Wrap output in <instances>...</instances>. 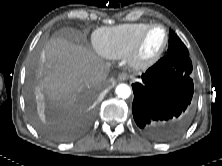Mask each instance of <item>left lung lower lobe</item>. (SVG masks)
Wrapping results in <instances>:
<instances>
[{
    "instance_id": "left-lung-lower-lobe-1",
    "label": "left lung lower lobe",
    "mask_w": 222,
    "mask_h": 166,
    "mask_svg": "<svg viewBox=\"0 0 222 166\" xmlns=\"http://www.w3.org/2000/svg\"><path fill=\"white\" fill-rule=\"evenodd\" d=\"M192 69L189 56L166 55L132 84L133 117L145 135L163 140L185 127L194 93Z\"/></svg>"
}]
</instances>
